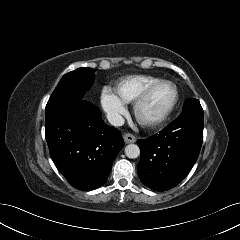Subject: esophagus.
<instances>
[{
  "label": "esophagus",
  "mask_w": 240,
  "mask_h": 240,
  "mask_svg": "<svg viewBox=\"0 0 240 240\" xmlns=\"http://www.w3.org/2000/svg\"><path fill=\"white\" fill-rule=\"evenodd\" d=\"M123 138L127 144L136 142V137L131 133L124 134Z\"/></svg>",
  "instance_id": "esophagus-1"
}]
</instances>
